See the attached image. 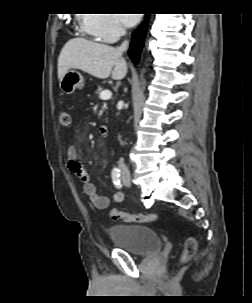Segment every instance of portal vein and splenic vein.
Masks as SVG:
<instances>
[{
	"label": "portal vein and splenic vein",
	"instance_id": "1",
	"mask_svg": "<svg viewBox=\"0 0 252 303\" xmlns=\"http://www.w3.org/2000/svg\"><path fill=\"white\" fill-rule=\"evenodd\" d=\"M100 99L102 100H109L111 97H112V92L110 90H103L101 93H100Z\"/></svg>",
	"mask_w": 252,
	"mask_h": 303
}]
</instances>
